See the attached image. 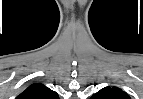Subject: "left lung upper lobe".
I'll use <instances>...</instances> for the list:
<instances>
[{
    "instance_id": "5c2ea615",
    "label": "left lung upper lobe",
    "mask_w": 143,
    "mask_h": 99,
    "mask_svg": "<svg viewBox=\"0 0 143 99\" xmlns=\"http://www.w3.org/2000/svg\"><path fill=\"white\" fill-rule=\"evenodd\" d=\"M91 99H130V97L122 89L108 86L95 93Z\"/></svg>"
}]
</instances>
